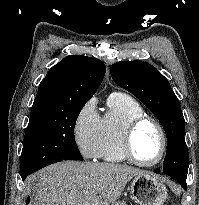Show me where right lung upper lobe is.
<instances>
[{"label":"right lung upper lobe","instance_id":"cb5924a9","mask_svg":"<svg viewBox=\"0 0 199 205\" xmlns=\"http://www.w3.org/2000/svg\"><path fill=\"white\" fill-rule=\"evenodd\" d=\"M106 67L94 57L71 55L53 66L41 81L32 111L89 100L100 86Z\"/></svg>","mask_w":199,"mask_h":205}]
</instances>
